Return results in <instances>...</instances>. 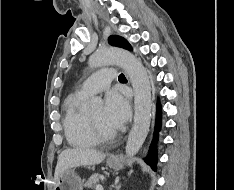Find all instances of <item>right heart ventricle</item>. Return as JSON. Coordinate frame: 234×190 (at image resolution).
<instances>
[{
    "instance_id": "right-heart-ventricle-1",
    "label": "right heart ventricle",
    "mask_w": 234,
    "mask_h": 190,
    "mask_svg": "<svg viewBox=\"0 0 234 190\" xmlns=\"http://www.w3.org/2000/svg\"><path fill=\"white\" fill-rule=\"evenodd\" d=\"M88 95L80 92L69 95L63 105V127L68 143L75 148H91L97 145L83 105Z\"/></svg>"
}]
</instances>
